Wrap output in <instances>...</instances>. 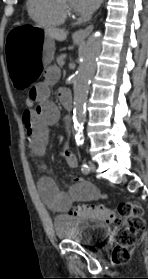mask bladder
<instances>
[{"instance_id":"31cf9c89","label":"bladder","mask_w":148,"mask_h":279,"mask_svg":"<svg viewBox=\"0 0 148 279\" xmlns=\"http://www.w3.org/2000/svg\"><path fill=\"white\" fill-rule=\"evenodd\" d=\"M53 227L59 240L73 241L85 246H96L104 242L110 233V227L105 223L69 215L55 216Z\"/></svg>"}]
</instances>
